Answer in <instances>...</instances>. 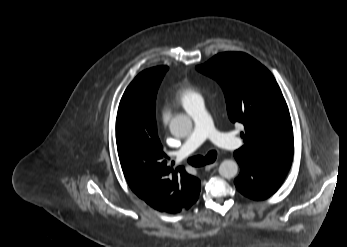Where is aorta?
Here are the masks:
<instances>
[{
    "mask_svg": "<svg viewBox=\"0 0 347 247\" xmlns=\"http://www.w3.org/2000/svg\"><path fill=\"white\" fill-rule=\"evenodd\" d=\"M169 128L173 136L186 137L192 130V120L187 115H177L171 120ZM237 172L238 164L234 160L226 159L219 166V174L226 179L233 178Z\"/></svg>",
    "mask_w": 347,
    "mask_h": 247,
    "instance_id": "obj_1",
    "label": "aorta"
}]
</instances>
